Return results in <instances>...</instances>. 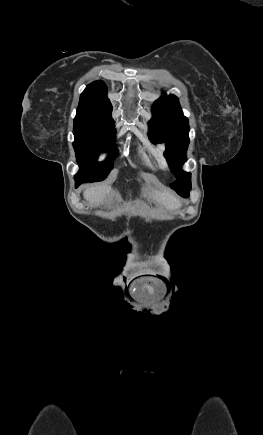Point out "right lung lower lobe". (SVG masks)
Returning a JSON list of instances; mask_svg holds the SVG:
<instances>
[{
  "label": "right lung lower lobe",
  "instance_id": "1",
  "mask_svg": "<svg viewBox=\"0 0 263 435\" xmlns=\"http://www.w3.org/2000/svg\"><path fill=\"white\" fill-rule=\"evenodd\" d=\"M81 183H82V182L77 181V182L75 183V187L77 188Z\"/></svg>",
  "mask_w": 263,
  "mask_h": 435
}]
</instances>
